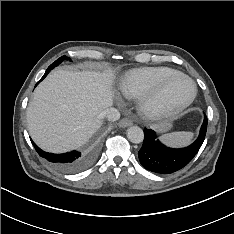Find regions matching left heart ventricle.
I'll use <instances>...</instances> for the list:
<instances>
[{"label": "left heart ventricle", "mask_w": 234, "mask_h": 234, "mask_svg": "<svg viewBox=\"0 0 234 234\" xmlns=\"http://www.w3.org/2000/svg\"><path fill=\"white\" fill-rule=\"evenodd\" d=\"M192 91L191 84L185 79H176L161 94V100L167 102H180L185 100Z\"/></svg>", "instance_id": "1"}]
</instances>
